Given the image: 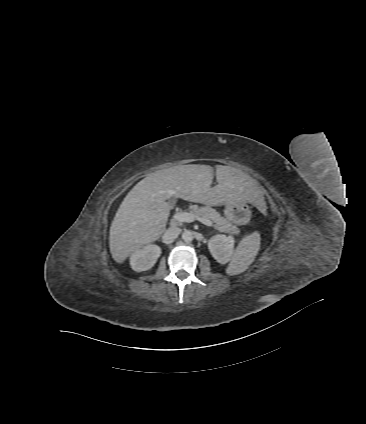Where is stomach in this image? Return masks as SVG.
Instances as JSON below:
<instances>
[{
	"label": "stomach",
	"mask_w": 366,
	"mask_h": 424,
	"mask_svg": "<svg viewBox=\"0 0 366 424\" xmlns=\"http://www.w3.org/2000/svg\"><path fill=\"white\" fill-rule=\"evenodd\" d=\"M225 216L228 221L233 223H240L242 222V213H245L246 215H250V209L248 202L246 201H232L227 202L225 204Z\"/></svg>",
	"instance_id": "0dacf381"
}]
</instances>
